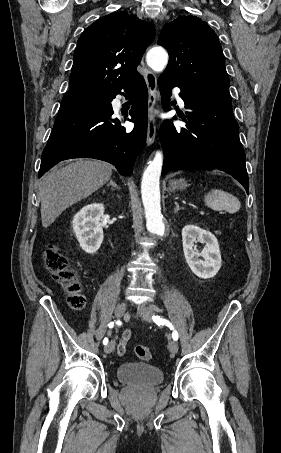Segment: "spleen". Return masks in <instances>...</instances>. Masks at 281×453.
Here are the masks:
<instances>
[{
	"label": "spleen",
	"mask_w": 281,
	"mask_h": 453,
	"mask_svg": "<svg viewBox=\"0 0 281 453\" xmlns=\"http://www.w3.org/2000/svg\"><path fill=\"white\" fill-rule=\"evenodd\" d=\"M207 206L213 208V210H227V212H237L241 206L239 198L225 192V190H219V188H212L204 198Z\"/></svg>",
	"instance_id": "1"
}]
</instances>
